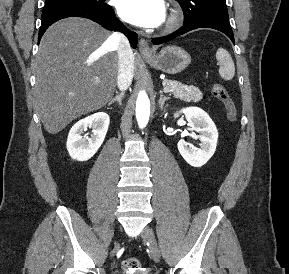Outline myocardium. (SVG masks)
<instances>
[{
	"label": "myocardium",
	"mask_w": 289,
	"mask_h": 274,
	"mask_svg": "<svg viewBox=\"0 0 289 274\" xmlns=\"http://www.w3.org/2000/svg\"><path fill=\"white\" fill-rule=\"evenodd\" d=\"M181 22V13L178 9H170L163 25V30L166 32L176 29Z\"/></svg>",
	"instance_id": "myocardium-1"
}]
</instances>
